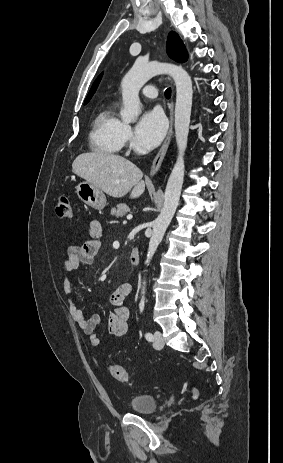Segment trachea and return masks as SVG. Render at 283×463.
Masks as SVG:
<instances>
[{"mask_svg": "<svg viewBox=\"0 0 283 463\" xmlns=\"http://www.w3.org/2000/svg\"><path fill=\"white\" fill-rule=\"evenodd\" d=\"M165 96H166L167 99H169L171 97V88L166 89Z\"/></svg>", "mask_w": 283, "mask_h": 463, "instance_id": "3493384b", "label": "trachea"}]
</instances>
